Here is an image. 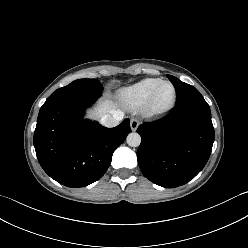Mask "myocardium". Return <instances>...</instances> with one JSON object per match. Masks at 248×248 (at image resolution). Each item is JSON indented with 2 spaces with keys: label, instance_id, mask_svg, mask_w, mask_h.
<instances>
[{
  "label": "myocardium",
  "instance_id": "myocardium-1",
  "mask_svg": "<svg viewBox=\"0 0 248 248\" xmlns=\"http://www.w3.org/2000/svg\"><path fill=\"white\" fill-rule=\"evenodd\" d=\"M164 85H170L173 89V97L171 102L164 106V107H157L155 105V100H156V96L159 92V90L164 86ZM177 101V89L175 87V85L168 80L165 81H161L151 92V94L149 95V97L147 98L145 104L143 105V109L144 112L148 115V116H161L164 114H167L168 112H170Z\"/></svg>",
  "mask_w": 248,
  "mask_h": 248
}]
</instances>
